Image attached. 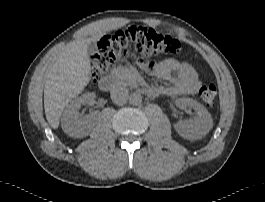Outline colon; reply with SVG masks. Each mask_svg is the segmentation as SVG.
Masks as SVG:
<instances>
[{"label": "colon", "instance_id": "5ec220e1", "mask_svg": "<svg viewBox=\"0 0 265 202\" xmlns=\"http://www.w3.org/2000/svg\"><path fill=\"white\" fill-rule=\"evenodd\" d=\"M181 43L178 39L157 32L152 28L132 26L100 38L91 57L90 78L98 82L117 60L131 58L136 54L137 63L143 68L153 67V58L164 54H178ZM198 95L208 107L216 105L217 88L213 84L202 83Z\"/></svg>", "mask_w": 265, "mask_h": 202}]
</instances>
